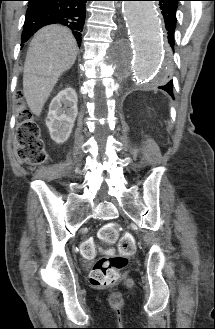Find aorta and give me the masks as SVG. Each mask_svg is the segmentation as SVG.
Instances as JSON below:
<instances>
[{
  "mask_svg": "<svg viewBox=\"0 0 215 329\" xmlns=\"http://www.w3.org/2000/svg\"><path fill=\"white\" fill-rule=\"evenodd\" d=\"M123 14L134 46V70L141 81L155 82L163 77V28L153 1H124Z\"/></svg>",
  "mask_w": 215,
  "mask_h": 329,
  "instance_id": "762f6f07",
  "label": "aorta"
}]
</instances>
